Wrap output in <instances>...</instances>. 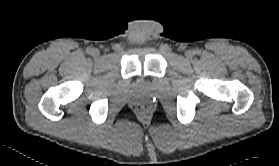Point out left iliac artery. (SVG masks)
Instances as JSON below:
<instances>
[{
	"instance_id": "obj_1",
	"label": "left iliac artery",
	"mask_w": 279,
	"mask_h": 166,
	"mask_svg": "<svg viewBox=\"0 0 279 166\" xmlns=\"http://www.w3.org/2000/svg\"><path fill=\"white\" fill-rule=\"evenodd\" d=\"M195 53H196V54H199V53H200V51H196Z\"/></svg>"
}]
</instances>
